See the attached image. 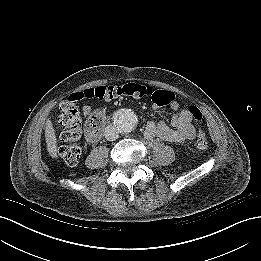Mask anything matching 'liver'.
<instances>
[{"label": "liver", "mask_w": 261, "mask_h": 261, "mask_svg": "<svg viewBox=\"0 0 261 261\" xmlns=\"http://www.w3.org/2000/svg\"><path fill=\"white\" fill-rule=\"evenodd\" d=\"M45 140L47 144V151L52 158H57V139L55 130L50 119H47L45 126Z\"/></svg>", "instance_id": "obj_1"}]
</instances>
